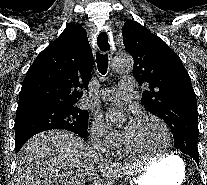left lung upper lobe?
<instances>
[{
  "mask_svg": "<svg viewBox=\"0 0 207 185\" xmlns=\"http://www.w3.org/2000/svg\"><path fill=\"white\" fill-rule=\"evenodd\" d=\"M122 35L126 51L134 58L133 75L146 86L142 104L168 124L175 148L198 154L196 95L180 57L134 20L125 22Z\"/></svg>",
  "mask_w": 207,
  "mask_h": 185,
  "instance_id": "left-lung-upper-lobe-1",
  "label": "left lung upper lobe"
}]
</instances>
